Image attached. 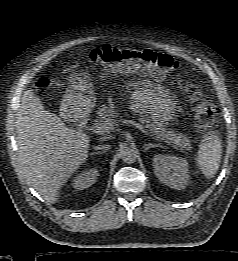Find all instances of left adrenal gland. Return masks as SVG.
Returning <instances> with one entry per match:
<instances>
[{
    "label": "left adrenal gland",
    "instance_id": "a2214340",
    "mask_svg": "<svg viewBox=\"0 0 238 261\" xmlns=\"http://www.w3.org/2000/svg\"><path fill=\"white\" fill-rule=\"evenodd\" d=\"M162 145L159 143V144H152V143H149V144H144L143 146V149L144 151L146 152L147 150H149L150 148H155V147H161Z\"/></svg>",
    "mask_w": 238,
    "mask_h": 261
}]
</instances>
